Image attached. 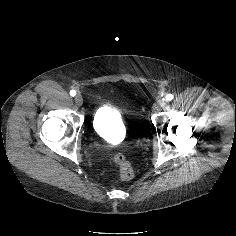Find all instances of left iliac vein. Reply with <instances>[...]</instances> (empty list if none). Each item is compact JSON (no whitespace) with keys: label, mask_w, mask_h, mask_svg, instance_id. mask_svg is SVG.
Returning a JSON list of instances; mask_svg holds the SVG:
<instances>
[{"label":"left iliac vein","mask_w":236,"mask_h":236,"mask_svg":"<svg viewBox=\"0 0 236 236\" xmlns=\"http://www.w3.org/2000/svg\"><path fill=\"white\" fill-rule=\"evenodd\" d=\"M166 106V101L165 100H159L157 101L156 104L153 106V111H160L162 108Z\"/></svg>","instance_id":"4c4485c4"}]
</instances>
